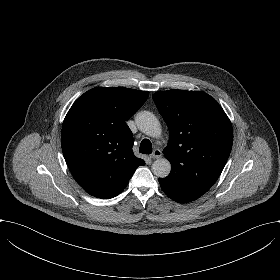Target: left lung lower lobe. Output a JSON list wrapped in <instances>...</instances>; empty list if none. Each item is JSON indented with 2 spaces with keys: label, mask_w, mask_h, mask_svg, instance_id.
<instances>
[{
  "label": "left lung lower lobe",
  "mask_w": 280,
  "mask_h": 280,
  "mask_svg": "<svg viewBox=\"0 0 280 280\" xmlns=\"http://www.w3.org/2000/svg\"><path fill=\"white\" fill-rule=\"evenodd\" d=\"M159 183L165 194L178 203L191 202L204 194L203 192H177L170 184L163 182L161 179H159Z\"/></svg>",
  "instance_id": "left-lung-lower-lobe-1"
}]
</instances>
